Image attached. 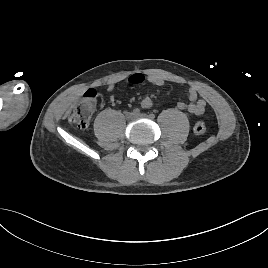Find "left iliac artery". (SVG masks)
Segmentation results:
<instances>
[{
	"label": "left iliac artery",
	"instance_id": "left-iliac-artery-1",
	"mask_svg": "<svg viewBox=\"0 0 268 268\" xmlns=\"http://www.w3.org/2000/svg\"><path fill=\"white\" fill-rule=\"evenodd\" d=\"M149 118L154 119V118H155V115L151 113V114L149 115Z\"/></svg>",
	"mask_w": 268,
	"mask_h": 268
}]
</instances>
